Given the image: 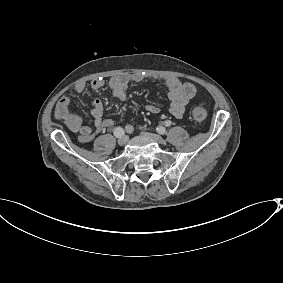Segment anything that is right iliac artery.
<instances>
[{
    "label": "right iliac artery",
    "instance_id": "1",
    "mask_svg": "<svg viewBox=\"0 0 283 283\" xmlns=\"http://www.w3.org/2000/svg\"><path fill=\"white\" fill-rule=\"evenodd\" d=\"M125 132L123 130V128L121 127H117L114 129V135L117 137V138H120L122 136H124Z\"/></svg>",
    "mask_w": 283,
    "mask_h": 283
}]
</instances>
